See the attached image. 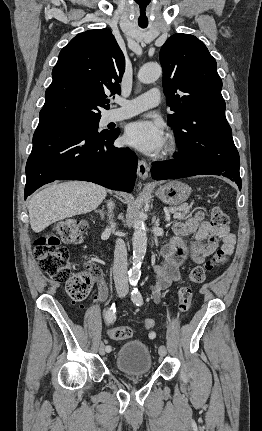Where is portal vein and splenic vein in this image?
<instances>
[{"label":"portal vein and splenic vein","mask_w":262,"mask_h":431,"mask_svg":"<svg viewBox=\"0 0 262 431\" xmlns=\"http://www.w3.org/2000/svg\"><path fill=\"white\" fill-rule=\"evenodd\" d=\"M182 216V214L181 213H175L174 215H173V218L174 219H177V218H180Z\"/></svg>","instance_id":"18ae733b"}]
</instances>
